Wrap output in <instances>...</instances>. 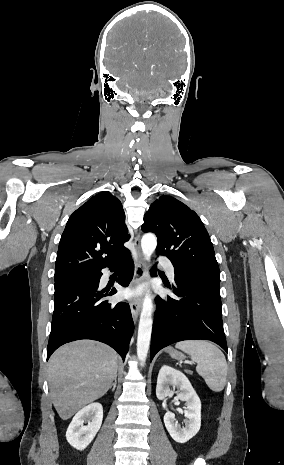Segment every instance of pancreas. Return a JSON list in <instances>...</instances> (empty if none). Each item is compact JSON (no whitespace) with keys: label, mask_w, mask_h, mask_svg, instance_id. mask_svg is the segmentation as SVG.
<instances>
[{"label":"pancreas","mask_w":284,"mask_h":465,"mask_svg":"<svg viewBox=\"0 0 284 465\" xmlns=\"http://www.w3.org/2000/svg\"><path fill=\"white\" fill-rule=\"evenodd\" d=\"M186 373H189V375H192V371H186Z\"/></svg>","instance_id":"1"}]
</instances>
